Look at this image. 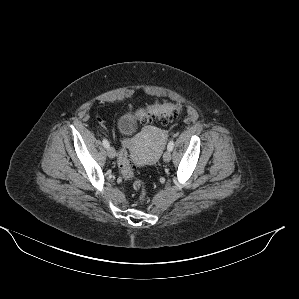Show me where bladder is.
Segmentation results:
<instances>
[{
	"mask_svg": "<svg viewBox=\"0 0 299 299\" xmlns=\"http://www.w3.org/2000/svg\"><path fill=\"white\" fill-rule=\"evenodd\" d=\"M119 133L124 137L134 135L136 131V122L131 115L124 113L118 119Z\"/></svg>",
	"mask_w": 299,
	"mask_h": 299,
	"instance_id": "bladder-1",
	"label": "bladder"
}]
</instances>
